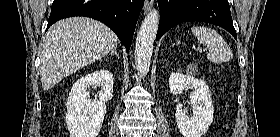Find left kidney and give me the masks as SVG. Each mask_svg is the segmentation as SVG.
Returning <instances> with one entry per match:
<instances>
[{"label": "left kidney", "mask_w": 280, "mask_h": 137, "mask_svg": "<svg viewBox=\"0 0 280 137\" xmlns=\"http://www.w3.org/2000/svg\"><path fill=\"white\" fill-rule=\"evenodd\" d=\"M170 91L174 95L181 94L184 89H194L190 101L193 115L187 116L182 104L176 106V122L183 137H201L213 122L214 107L208 85L189 73L173 72L169 78Z\"/></svg>", "instance_id": "left-kidney-1"}]
</instances>
